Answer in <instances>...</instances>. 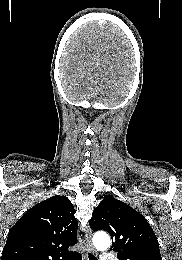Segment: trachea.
<instances>
[{
    "label": "trachea",
    "mask_w": 182,
    "mask_h": 260,
    "mask_svg": "<svg viewBox=\"0 0 182 260\" xmlns=\"http://www.w3.org/2000/svg\"><path fill=\"white\" fill-rule=\"evenodd\" d=\"M88 257H89V260H97V258L94 257L92 254H89Z\"/></svg>",
    "instance_id": "1"
}]
</instances>
